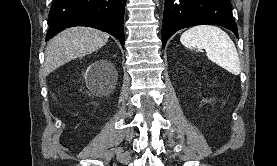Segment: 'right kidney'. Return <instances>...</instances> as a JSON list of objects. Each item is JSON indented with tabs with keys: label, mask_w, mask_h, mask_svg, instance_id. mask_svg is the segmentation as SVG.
<instances>
[{
	"label": "right kidney",
	"mask_w": 277,
	"mask_h": 166,
	"mask_svg": "<svg viewBox=\"0 0 277 166\" xmlns=\"http://www.w3.org/2000/svg\"><path fill=\"white\" fill-rule=\"evenodd\" d=\"M105 64H107L105 61H100L95 64V69L103 67Z\"/></svg>",
	"instance_id": "1"
}]
</instances>
